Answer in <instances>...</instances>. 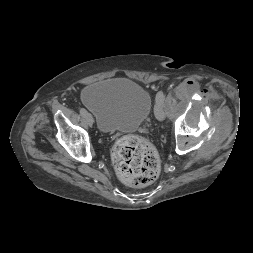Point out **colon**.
<instances>
[{
  "instance_id": "colon-1",
  "label": "colon",
  "mask_w": 253,
  "mask_h": 253,
  "mask_svg": "<svg viewBox=\"0 0 253 253\" xmlns=\"http://www.w3.org/2000/svg\"><path fill=\"white\" fill-rule=\"evenodd\" d=\"M112 161L119 179L132 187L151 184L160 172L155 147L137 135L125 136L116 142L112 150Z\"/></svg>"
}]
</instances>
